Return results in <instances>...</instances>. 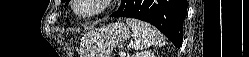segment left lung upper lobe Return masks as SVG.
I'll return each mask as SVG.
<instances>
[{
  "label": "left lung upper lobe",
  "mask_w": 249,
  "mask_h": 57,
  "mask_svg": "<svg viewBox=\"0 0 249 57\" xmlns=\"http://www.w3.org/2000/svg\"><path fill=\"white\" fill-rule=\"evenodd\" d=\"M64 1H65V0H62V2H64ZM68 2H69V0H67V1H66V4H65V6H66V5L68 4Z\"/></svg>",
  "instance_id": "5c2ea615"
}]
</instances>
